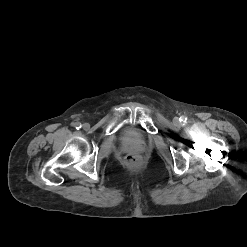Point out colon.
I'll use <instances>...</instances> for the list:
<instances>
[{
    "label": "colon",
    "instance_id": "1",
    "mask_svg": "<svg viewBox=\"0 0 247 247\" xmlns=\"http://www.w3.org/2000/svg\"><path fill=\"white\" fill-rule=\"evenodd\" d=\"M126 162L130 165H136L138 163V158L135 155H128L126 157Z\"/></svg>",
    "mask_w": 247,
    "mask_h": 247
}]
</instances>
